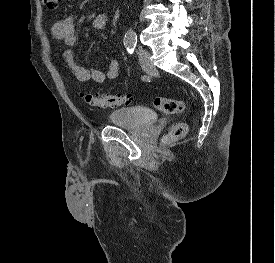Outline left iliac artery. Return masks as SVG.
Returning <instances> with one entry per match:
<instances>
[{
	"label": "left iliac artery",
	"instance_id": "left-iliac-artery-1",
	"mask_svg": "<svg viewBox=\"0 0 275 263\" xmlns=\"http://www.w3.org/2000/svg\"><path fill=\"white\" fill-rule=\"evenodd\" d=\"M137 44L136 32L132 29L128 30L124 36V45L127 51L132 54Z\"/></svg>",
	"mask_w": 275,
	"mask_h": 263
}]
</instances>
